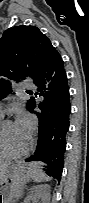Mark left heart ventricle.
<instances>
[{"label": "left heart ventricle", "mask_w": 89, "mask_h": 203, "mask_svg": "<svg viewBox=\"0 0 89 203\" xmlns=\"http://www.w3.org/2000/svg\"><path fill=\"white\" fill-rule=\"evenodd\" d=\"M4 140L5 148L10 153H18L23 150L29 138L24 137L16 128V125L12 122H8L4 125Z\"/></svg>", "instance_id": "obj_1"}]
</instances>
